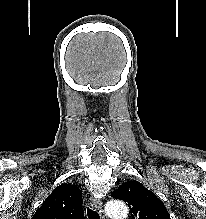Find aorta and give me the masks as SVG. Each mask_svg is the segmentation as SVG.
I'll list each match as a JSON object with an SVG mask.
<instances>
[{
	"instance_id": "1",
	"label": "aorta",
	"mask_w": 206,
	"mask_h": 219,
	"mask_svg": "<svg viewBox=\"0 0 206 219\" xmlns=\"http://www.w3.org/2000/svg\"><path fill=\"white\" fill-rule=\"evenodd\" d=\"M106 213L111 219H126L128 207L123 201L112 200L106 205Z\"/></svg>"
}]
</instances>
